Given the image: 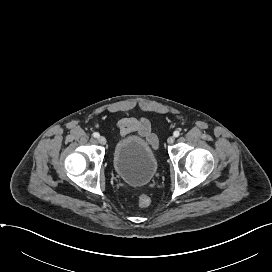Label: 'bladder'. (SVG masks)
I'll use <instances>...</instances> for the list:
<instances>
[{
    "mask_svg": "<svg viewBox=\"0 0 272 272\" xmlns=\"http://www.w3.org/2000/svg\"><path fill=\"white\" fill-rule=\"evenodd\" d=\"M113 168L124 182L143 186L155 176L158 160L154 150L144 139L131 135L116 143Z\"/></svg>",
    "mask_w": 272,
    "mask_h": 272,
    "instance_id": "obj_1",
    "label": "bladder"
}]
</instances>
